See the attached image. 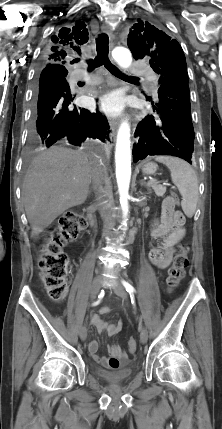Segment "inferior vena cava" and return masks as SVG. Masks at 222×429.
I'll return each mask as SVG.
<instances>
[{
  "label": "inferior vena cava",
  "mask_w": 222,
  "mask_h": 429,
  "mask_svg": "<svg viewBox=\"0 0 222 429\" xmlns=\"http://www.w3.org/2000/svg\"><path fill=\"white\" fill-rule=\"evenodd\" d=\"M103 179V169L101 166V160L98 164L93 167L92 170V183L94 189L97 191L98 200L103 202L101 206L102 218L104 222L103 232L104 234H109L111 227L114 225V218L109 213V204L104 202V199L107 197V193L101 189Z\"/></svg>",
  "instance_id": "inferior-vena-cava-1"
}]
</instances>
